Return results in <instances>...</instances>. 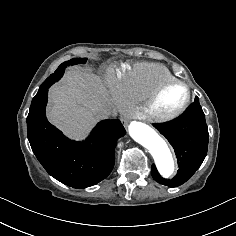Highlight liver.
<instances>
[{
    "instance_id": "6515ba94",
    "label": "liver",
    "mask_w": 236,
    "mask_h": 236,
    "mask_svg": "<svg viewBox=\"0 0 236 236\" xmlns=\"http://www.w3.org/2000/svg\"><path fill=\"white\" fill-rule=\"evenodd\" d=\"M109 93L102 80L79 68H70L49 89L47 118L65 135L81 139L100 119L97 110L107 106Z\"/></svg>"
}]
</instances>
